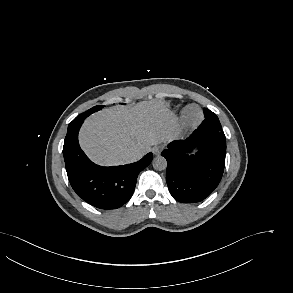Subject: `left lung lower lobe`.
Here are the masks:
<instances>
[{"label":"left lung lower lobe","mask_w":293,"mask_h":293,"mask_svg":"<svg viewBox=\"0 0 293 293\" xmlns=\"http://www.w3.org/2000/svg\"><path fill=\"white\" fill-rule=\"evenodd\" d=\"M193 147L198 148L191 155ZM166 182L171 195L183 203L204 200L218 186L224 171L226 138L223 131L201 124L186 140L168 144Z\"/></svg>","instance_id":"1"}]
</instances>
